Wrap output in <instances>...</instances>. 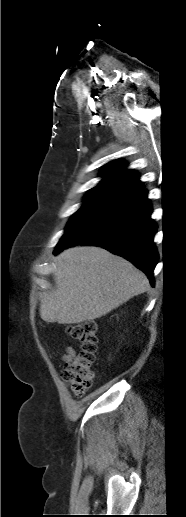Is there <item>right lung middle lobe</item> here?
Returning <instances> with one entry per match:
<instances>
[{
	"label": "right lung middle lobe",
	"mask_w": 186,
	"mask_h": 517,
	"mask_svg": "<svg viewBox=\"0 0 186 517\" xmlns=\"http://www.w3.org/2000/svg\"><path fill=\"white\" fill-rule=\"evenodd\" d=\"M114 204L113 201L84 199V205L70 219L66 232L59 243L68 239L76 231L96 219Z\"/></svg>",
	"instance_id": "1"
}]
</instances>
